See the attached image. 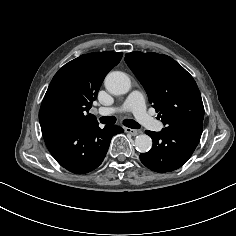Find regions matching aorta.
Instances as JSON below:
<instances>
[{"label":"aorta","mask_w":236,"mask_h":236,"mask_svg":"<svg viewBox=\"0 0 236 236\" xmlns=\"http://www.w3.org/2000/svg\"><path fill=\"white\" fill-rule=\"evenodd\" d=\"M104 84L106 89L114 95L126 94L131 88L130 78L121 71L110 72L106 76ZM135 147L139 152L146 153L152 147V139L146 134L138 135L135 138Z\"/></svg>","instance_id":"1"}]
</instances>
